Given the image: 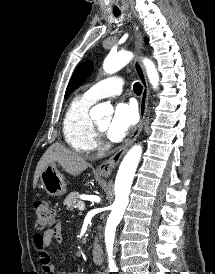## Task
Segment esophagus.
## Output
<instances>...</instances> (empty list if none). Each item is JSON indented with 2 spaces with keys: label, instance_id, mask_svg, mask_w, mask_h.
Returning a JSON list of instances; mask_svg holds the SVG:
<instances>
[{
  "label": "esophagus",
  "instance_id": "esophagus-1",
  "mask_svg": "<svg viewBox=\"0 0 215 274\" xmlns=\"http://www.w3.org/2000/svg\"><path fill=\"white\" fill-rule=\"evenodd\" d=\"M142 44H143L142 35L141 33H138L136 35V41H135V49L138 54L141 52ZM135 71L143 87L141 100H140V121L137 124V126L134 128V130L132 131L126 143L123 146H121L109 159H107L106 161H104L102 164H100L97 167L96 173L102 176H109L112 173L113 169L117 167L121 158L126 153L128 148L133 144V142L137 139V137L139 136L143 128V124H144L146 112H147V106H148L149 87H148L145 70L142 64L140 63L138 57L135 59Z\"/></svg>",
  "mask_w": 215,
  "mask_h": 274
}]
</instances>
